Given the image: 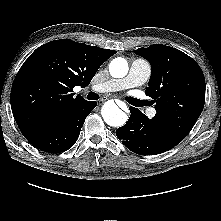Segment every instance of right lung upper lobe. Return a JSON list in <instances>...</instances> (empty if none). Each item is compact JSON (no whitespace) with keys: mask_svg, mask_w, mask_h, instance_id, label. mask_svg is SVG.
<instances>
[{"mask_svg":"<svg viewBox=\"0 0 221 221\" xmlns=\"http://www.w3.org/2000/svg\"><path fill=\"white\" fill-rule=\"evenodd\" d=\"M116 51L60 39L37 48L21 66L12 85L13 116L26 139L72 114L87 101L73 87H86Z\"/></svg>","mask_w":221,"mask_h":221,"instance_id":"right-lung-upper-lobe-1","label":"right lung upper lobe"}]
</instances>
